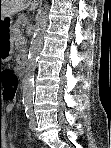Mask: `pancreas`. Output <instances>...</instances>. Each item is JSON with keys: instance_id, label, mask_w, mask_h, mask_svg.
Here are the masks:
<instances>
[{"instance_id": "cf45deb5", "label": "pancreas", "mask_w": 111, "mask_h": 148, "mask_svg": "<svg viewBox=\"0 0 111 148\" xmlns=\"http://www.w3.org/2000/svg\"><path fill=\"white\" fill-rule=\"evenodd\" d=\"M18 26H16V28L13 29V34L16 38L15 40V45L18 47V48H22L23 47V37L21 35V33L17 30Z\"/></svg>"}]
</instances>
